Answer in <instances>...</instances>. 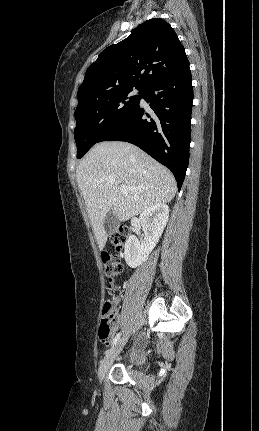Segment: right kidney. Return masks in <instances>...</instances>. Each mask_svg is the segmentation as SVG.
I'll return each mask as SVG.
<instances>
[{"instance_id": "ca27d5eb", "label": "right kidney", "mask_w": 259, "mask_h": 431, "mask_svg": "<svg viewBox=\"0 0 259 431\" xmlns=\"http://www.w3.org/2000/svg\"><path fill=\"white\" fill-rule=\"evenodd\" d=\"M168 217L169 207L164 203L154 204L140 214L139 221L145 236L141 244L134 235L127 239L124 256L129 267L136 268L147 260L163 233Z\"/></svg>"}]
</instances>
